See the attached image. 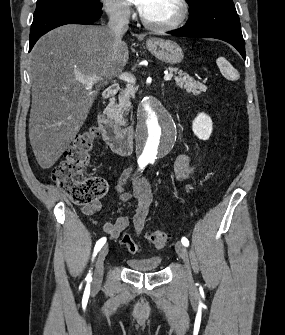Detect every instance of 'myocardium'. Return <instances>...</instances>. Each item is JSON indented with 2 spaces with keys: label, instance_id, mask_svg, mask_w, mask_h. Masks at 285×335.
<instances>
[{
  "label": "myocardium",
  "instance_id": "obj_1",
  "mask_svg": "<svg viewBox=\"0 0 285 335\" xmlns=\"http://www.w3.org/2000/svg\"><path fill=\"white\" fill-rule=\"evenodd\" d=\"M174 2L180 9V14L175 21L161 26H154L149 22H147L143 17H141V22L143 26L147 30L155 33H164L178 29L187 20L189 16V5L187 1H174Z\"/></svg>",
  "mask_w": 285,
  "mask_h": 335
}]
</instances>
